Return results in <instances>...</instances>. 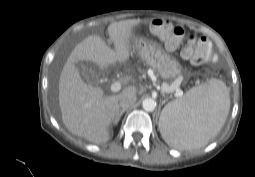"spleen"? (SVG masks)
<instances>
[{
  "mask_svg": "<svg viewBox=\"0 0 255 177\" xmlns=\"http://www.w3.org/2000/svg\"><path fill=\"white\" fill-rule=\"evenodd\" d=\"M229 109L226 85L211 79L168 103L160 116L159 129L164 140L173 147H202L221 130Z\"/></svg>",
  "mask_w": 255,
  "mask_h": 177,
  "instance_id": "3e777b00",
  "label": "spleen"
}]
</instances>
